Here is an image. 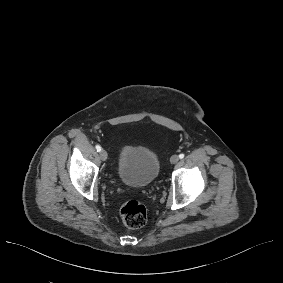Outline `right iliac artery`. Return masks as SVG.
<instances>
[{
    "instance_id": "right-iliac-artery-1",
    "label": "right iliac artery",
    "mask_w": 283,
    "mask_h": 283,
    "mask_svg": "<svg viewBox=\"0 0 283 283\" xmlns=\"http://www.w3.org/2000/svg\"><path fill=\"white\" fill-rule=\"evenodd\" d=\"M96 150H97V152H100L101 151V147L99 145H96Z\"/></svg>"
}]
</instances>
